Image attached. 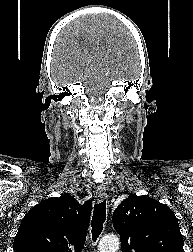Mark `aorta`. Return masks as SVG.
<instances>
[{
  "label": "aorta",
  "mask_w": 193,
  "mask_h": 252,
  "mask_svg": "<svg viewBox=\"0 0 193 252\" xmlns=\"http://www.w3.org/2000/svg\"><path fill=\"white\" fill-rule=\"evenodd\" d=\"M119 247V238L115 235L105 236L100 240V252H116Z\"/></svg>",
  "instance_id": "obj_1"
}]
</instances>
